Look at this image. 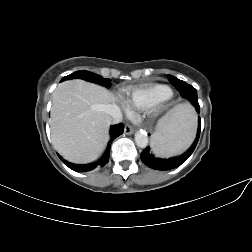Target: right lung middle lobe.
<instances>
[{
	"label": "right lung middle lobe",
	"mask_w": 252,
	"mask_h": 252,
	"mask_svg": "<svg viewBox=\"0 0 252 252\" xmlns=\"http://www.w3.org/2000/svg\"><path fill=\"white\" fill-rule=\"evenodd\" d=\"M70 79H83L85 81L94 82L96 84H100L106 87L110 86L109 79L102 78L100 75L86 70L76 71L68 76H65L64 78H62L61 82Z\"/></svg>",
	"instance_id": "right-lung-middle-lobe-1"
}]
</instances>
